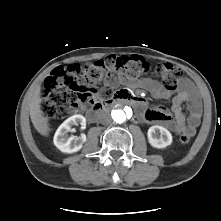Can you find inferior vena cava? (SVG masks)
<instances>
[{
    "instance_id": "inferior-vena-cava-1",
    "label": "inferior vena cava",
    "mask_w": 221,
    "mask_h": 221,
    "mask_svg": "<svg viewBox=\"0 0 221 221\" xmlns=\"http://www.w3.org/2000/svg\"><path fill=\"white\" fill-rule=\"evenodd\" d=\"M99 121H100V123L103 124V125H108V124L111 123L112 119H111L109 113L103 112V113H101L100 116H99Z\"/></svg>"
}]
</instances>
